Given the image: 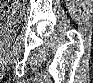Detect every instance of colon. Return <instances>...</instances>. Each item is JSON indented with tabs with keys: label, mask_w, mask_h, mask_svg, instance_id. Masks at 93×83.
Instances as JSON below:
<instances>
[{
	"label": "colon",
	"mask_w": 93,
	"mask_h": 83,
	"mask_svg": "<svg viewBox=\"0 0 93 83\" xmlns=\"http://www.w3.org/2000/svg\"><path fill=\"white\" fill-rule=\"evenodd\" d=\"M5 5L2 7L1 13L3 18H7L10 15H13L18 12L19 7L24 4L23 1H6Z\"/></svg>",
	"instance_id": "obj_1"
}]
</instances>
